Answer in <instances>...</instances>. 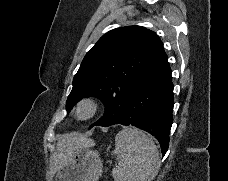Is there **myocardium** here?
<instances>
[{"label": "myocardium", "mask_w": 228, "mask_h": 181, "mask_svg": "<svg viewBox=\"0 0 228 181\" xmlns=\"http://www.w3.org/2000/svg\"><path fill=\"white\" fill-rule=\"evenodd\" d=\"M94 110V105L90 101H84L82 102L78 107V113L79 114H86L90 115Z\"/></svg>", "instance_id": "myocardium-1"}]
</instances>
